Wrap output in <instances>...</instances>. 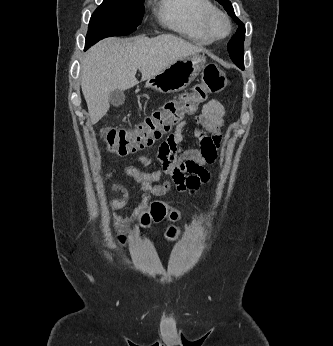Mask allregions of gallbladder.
<instances>
[{
    "mask_svg": "<svg viewBox=\"0 0 333 346\" xmlns=\"http://www.w3.org/2000/svg\"><path fill=\"white\" fill-rule=\"evenodd\" d=\"M125 101V94L121 90H114L109 94V103L114 107H119Z\"/></svg>",
    "mask_w": 333,
    "mask_h": 346,
    "instance_id": "bac80fb5",
    "label": "gallbladder"
}]
</instances>
